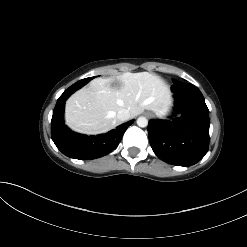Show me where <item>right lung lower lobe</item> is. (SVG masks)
Returning a JSON list of instances; mask_svg holds the SVG:
<instances>
[{
	"label": "right lung lower lobe",
	"instance_id": "obj_1",
	"mask_svg": "<svg viewBox=\"0 0 247 247\" xmlns=\"http://www.w3.org/2000/svg\"><path fill=\"white\" fill-rule=\"evenodd\" d=\"M85 84L76 82L57 100L51 120V137L57 148L66 156L80 160L99 158L112 152L120 143L133 120L98 136H86L72 132L64 125L63 113L66 99Z\"/></svg>",
	"mask_w": 247,
	"mask_h": 247
}]
</instances>
